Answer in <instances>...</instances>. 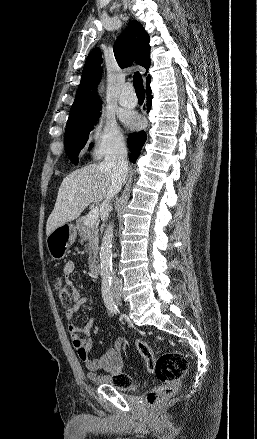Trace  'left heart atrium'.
<instances>
[{
	"label": "left heart atrium",
	"mask_w": 257,
	"mask_h": 439,
	"mask_svg": "<svg viewBox=\"0 0 257 439\" xmlns=\"http://www.w3.org/2000/svg\"><path fill=\"white\" fill-rule=\"evenodd\" d=\"M127 122L131 124L132 126H136L139 122V120L136 117H129L127 118Z\"/></svg>",
	"instance_id": "left-heart-atrium-1"
}]
</instances>
